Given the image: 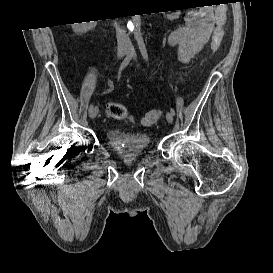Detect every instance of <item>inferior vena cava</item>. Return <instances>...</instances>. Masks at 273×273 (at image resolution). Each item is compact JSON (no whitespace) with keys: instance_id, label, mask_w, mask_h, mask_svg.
<instances>
[{"instance_id":"1","label":"inferior vena cava","mask_w":273,"mask_h":273,"mask_svg":"<svg viewBox=\"0 0 273 273\" xmlns=\"http://www.w3.org/2000/svg\"><path fill=\"white\" fill-rule=\"evenodd\" d=\"M116 37H117L118 47L128 48L131 46L130 38L124 29L117 27Z\"/></svg>"}]
</instances>
